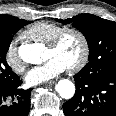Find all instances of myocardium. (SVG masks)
I'll use <instances>...</instances> for the list:
<instances>
[{
	"label": "myocardium",
	"mask_w": 116,
	"mask_h": 116,
	"mask_svg": "<svg viewBox=\"0 0 116 116\" xmlns=\"http://www.w3.org/2000/svg\"><path fill=\"white\" fill-rule=\"evenodd\" d=\"M76 35L82 46V52L80 58L72 65L68 67L71 72H76L82 69L88 62L90 56V43L86 34L75 27H64L61 31H59L55 37L48 43V47L51 49H57L61 45L64 38L69 35Z\"/></svg>",
	"instance_id": "obj_1"
}]
</instances>
